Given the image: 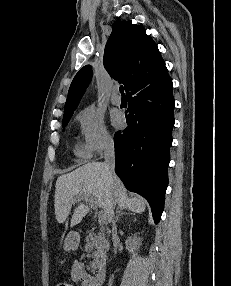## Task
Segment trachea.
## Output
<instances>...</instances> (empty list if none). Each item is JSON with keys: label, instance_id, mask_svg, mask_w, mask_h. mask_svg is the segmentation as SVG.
I'll return each instance as SVG.
<instances>
[{"label": "trachea", "instance_id": "obj_1", "mask_svg": "<svg viewBox=\"0 0 231 286\" xmlns=\"http://www.w3.org/2000/svg\"><path fill=\"white\" fill-rule=\"evenodd\" d=\"M119 91H120V93H121L122 95H124V88H123L122 85L119 87Z\"/></svg>", "mask_w": 231, "mask_h": 286}]
</instances>
